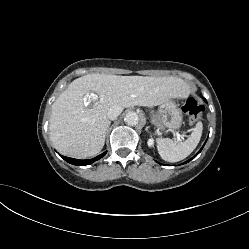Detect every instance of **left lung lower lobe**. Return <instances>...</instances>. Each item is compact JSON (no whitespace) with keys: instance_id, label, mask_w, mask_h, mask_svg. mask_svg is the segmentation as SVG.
<instances>
[{"instance_id":"1","label":"left lung lower lobe","mask_w":249,"mask_h":249,"mask_svg":"<svg viewBox=\"0 0 249 249\" xmlns=\"http://www.w3.org/2000/svg\"><path fill=\"white\" fill-rule=\"evenodd\" d=\"M206 101V100H205ZM204 147V146H203ZM203 147L198 151V153L194 156V157H192L191 159H189L188 161H186V162H184V163H187V162H189L190 160H192L193 158H195L200 152H201V150L203 149Z\"/></svg>"}]
</instances>
